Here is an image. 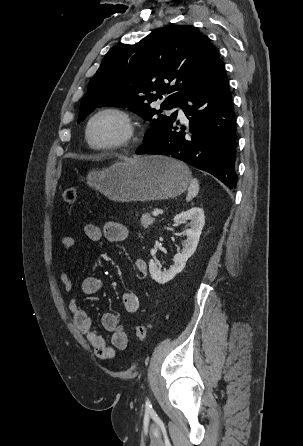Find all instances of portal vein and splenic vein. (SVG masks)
<instances>
[{
  "label": "portal vein and splenic vein",
  "mask_w": 303,
  "mask_h": 446,
  "mask_svg": "<svg viewBox=\"0 0 303 446\" xmlns=\"http://www.w3.org/2000/svg\"><path fill=\"white\" fill-rule=\"evenodd\" d=\"M159 211L158 210H154L153 212H152V215L153 216H155V217H157L158 215H159Z\"/></svg>",
  "instance_id": "1"
}]
</instances>
